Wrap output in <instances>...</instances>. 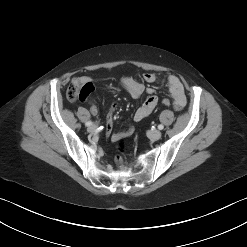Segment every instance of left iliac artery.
Instances as JSON below:
<instances>
[{
  "mask_svg": "<svg viewBox=\"0 0 247 247\" xmlns=\"http://www.w3.org/2000/svg\"><path fill=\"white\" fill-rule=\"evenodd\" d=\"M164 128V126L162 124L158 125V129L162 130Z\"/></svg>",
  "mask_w": 247,
  "mask_h": 247,
  "instance_id": "44dca946",
  "label": "left iliac artery"
}]
</instances>
